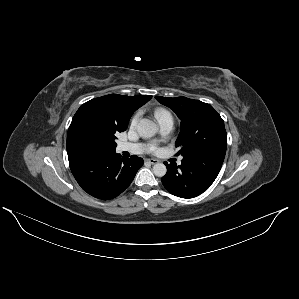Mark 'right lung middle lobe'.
<instances>
[{
	"label": "right lung middle lobe",
	"instance_id": "dd1d6c3e",
	"mask_svg": "<svg viewBox=\"0 0 299 299\" xmlns=\"http://www.w3.org/2000/svg\"><path fill=\"white\" fill-rule=\"evenodd\" d=\"M125 130L126 128L119 127L112 122L91 118L77 126L76 137L85 150L115 151L116 135Z\"/></svg>",
	"mask_w": 299,
	"mask_h": 299
}]
</instances>
